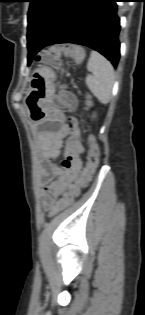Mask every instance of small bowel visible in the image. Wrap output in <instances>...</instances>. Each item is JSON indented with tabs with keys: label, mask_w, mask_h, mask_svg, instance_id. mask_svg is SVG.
Segmentation results:
<instances>
[{
	"label": "small bowel",
	"mask_w": 145,
	"mask_h": 315,
	"mask_svg": "<svg viewBox=\"0 0 145 315\" xmlns=\"http://www.w3.org/2000/svg\"><path fill=\"white\" fill-rule=\"evenodd\" d=\"M66 137L62 161L65 169H61L53 161L59 158L63 139ZM83 152L84 146L74 118H68L58 131L48 132L42 136L38 179L42 186V200L52 211L58 198L79 184L84 173L79 159ZM90 178L91 176H88V181Z\"/></svg>",
	"instance_id": "obj_1"
}]
</instances>
